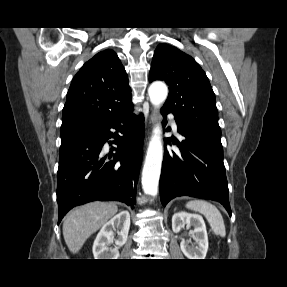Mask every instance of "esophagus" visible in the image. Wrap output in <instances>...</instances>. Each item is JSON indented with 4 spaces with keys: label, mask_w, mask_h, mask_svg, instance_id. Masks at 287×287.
Returning <instances> with one entry per match:
<instances>
[{
    "label": "esophagus",
    "mask_w": 287,
    "mask_h": 287,
    "mask_svg": "<svg viewBox=\"0 0 287 287\" xmlns=\"http://www.w3.org/2000/svg\"><path fill=\"white\" fill-rule=\"evenodd\" d=\"M158 117V114L156 111H153L152 114L150 115V119H149V122L150 124H154L156 119Z\"/></svg>",
    "instance_id": "1"
}]
</instances>
